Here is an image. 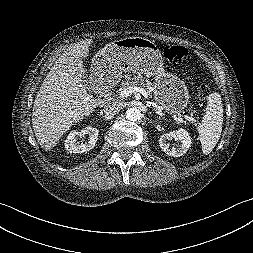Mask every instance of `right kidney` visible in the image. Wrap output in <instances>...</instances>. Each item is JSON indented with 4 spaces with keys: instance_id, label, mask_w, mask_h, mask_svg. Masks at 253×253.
Segmentation results:
<instances>
[{
    "instance_id": "ca27d5eb",
    "label": "right kidney",
    "mask_w": 253,
    "mask_h": 253,
    "mask_svg": "<svg viewBox=\"0 0 253 253\" xmlns=\"http://www.w3.org/2000/svg\"><path fill=\"white\" fill-rule=\"evenodd\" d=\"M98 130L94 127H86L80 132L72 131L65 141V148L70 153H84L94 148L98 139ZM88 135L87 141H78V138Z\"/></svg>"
}]
</instances>
